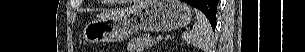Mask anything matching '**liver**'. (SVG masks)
<instances>
[{
  "label": "liver",
  "mask_w": 305,
  "mask_h": 52,
  "mask_svg": "<svg viewBox=\"0 0 305 52\" xmlns=\"http://www.w3.org/2000/svg\"><path fill=\"white\" fill-rule=\"evenodd\" d=\"M149 0H146V1H143L141 2V4L139 5H133L132 7H129V8H126V9H123V10H115V11H112L110 13H106L105 15H103L105 18H109V17H112V16H120V15H123L133 9H137L143 5H145L146 3H148Z\"/></svg>",
  "instance_id": "1"
}]
</instances>
